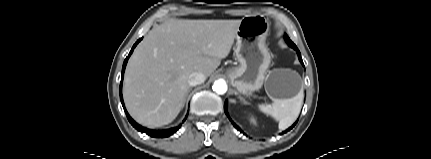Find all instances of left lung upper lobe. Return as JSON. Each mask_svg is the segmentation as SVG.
I'll use <instances>...</instances> for the list:
<instances>
[{
	"instance_id": "5c2ea615",
	"label": "left lung upper lobe",
	"mask_w": 431,
	"mask_h": 159,
	"mask_svg": "<svg viewBox=\"0 0 431 159\" xmlns=\"http://www.w3.org/2000/svg\"><path fill=\"white\" fill-rule=\"evenodd\" d=\"M286 36V40H287V42H289V43H291L292 41L289 39V37L287 36V35H285ZM288 38V39H287ZM293 43V42H292Z\"/></svg>"
}]
</instances>
